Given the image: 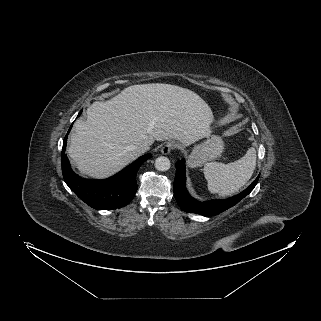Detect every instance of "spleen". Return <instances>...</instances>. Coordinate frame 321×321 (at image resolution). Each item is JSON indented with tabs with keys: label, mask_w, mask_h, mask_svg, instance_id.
<instances>
[{
	"label": "spleen",
	"mask_w": 321,
	"mask_h": 321,
	"mask_svg": "<svg viewBox=\"0 0 321 321\" xmlns=\"http://www.w3.org/2000/svg\"><path fill=\"white\" fill-rule=\"evenodd\" d=\"M256 167V150L251 147L246 154L235 162L223 164L206 163L204 176L208 190L220 196H228L237 192L251 178Z\"/></svg>",
	"instance_id": "spleen-1"
}]
</instances>
